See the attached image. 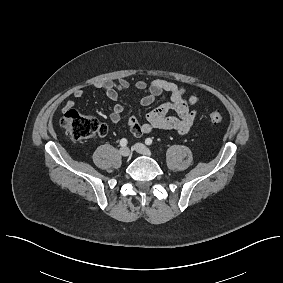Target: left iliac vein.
Listing matches in <instances>:
<instances>
[{
	"label": "left iliac vein",
	"mask_w": 283,
	"mask_h": 283,
	"mask_svg": "<svg viewBox=\"0 0 283 283\" xmlns=\"http://www.w3.org/2000/svg\"><path fill=\"white\" fill-rule=\"evenodd\" d=\"M134 148L139 154L151 156V151L142 143L135 144Z\"/></svg>",
	"instance_id": "left-iliac-vein-1"
}]
</instances>
